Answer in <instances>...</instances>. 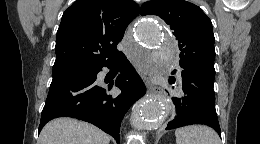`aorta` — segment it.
Listing matches in <instances>:
<instances>
[{
    "label": "aorta",
    "instance_id": "aorta-1",
    "mask_svg": "<svg viewBox=\"0 0 260 144\" xmlns=\"http://www.w3.org/2000/svg\"><path fill=\"white\" fill-rule=\"evenodd\" d=\"M139 45L131 50L137 60L147 68L167 70L176 43L165 33L155 18L145 17L135 27ZM169 103L158 97H145L138 101L132 111V125L137 130H149L164 124Z\"/></svg>",
    "mask_w": 260,
    "mask_h": 144
}]
</instances>
